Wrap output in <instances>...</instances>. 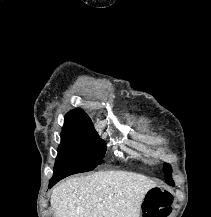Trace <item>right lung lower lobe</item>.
Segmentation results:
<instances>
[{"label":"right lung lower lobe","mask_w":211,"mask_h":217,"mask_svg":"<svg viewBox=\"0 0 211 217\" xmlns=\"http://www.w3.org/2000/svg\"><path fill=\"white\" fill-rule=\"evenodd\" d=\"M59 180L61 179H51L49 183V188H51L53 185H55Z\"/></svg>","instance_id":"98d812e1"}]
</instances>
